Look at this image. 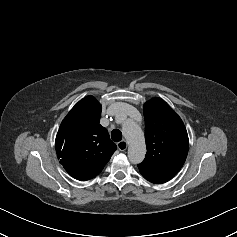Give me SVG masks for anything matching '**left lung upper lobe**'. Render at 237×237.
Listing matches in <instances>:
<instances>
[{"label":"left lung upper lobe","mask_w":237,"mask_h":237,"mask_svg":"<svg viewBox=\"0 0 237 237\" xmlns=\"http://www.w3.org/2000/svg\"><path fill=\"white\" fill-rule=\"evenodd\" d=\"M147 154L138 165L141 173L168 181L183 166L189 139L181 118L156 97L144 104Z\"/></svg>","instance_id":"left-lung-upper-lobe-1"}]
</instances>
